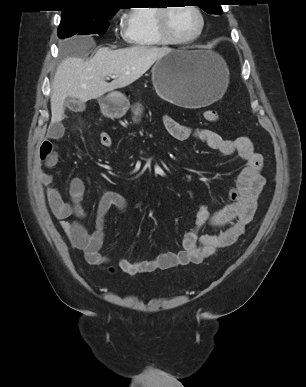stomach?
Listing matches in <instances>:
<instances>
[{
  "instance_id": "1",
  "label": "stomach",
  "mask_w": 306,
  "mask_h": 387,
  "mask_svg": "<svg viewBox=\"0 0 306 387\" xmlns=\"http://www.w3.org/2000/svg\"><path fill=\"white\" fill-rule=\"evenodd\" d=\"M152 82L166 101L185 108H200L220 99L229 83L224 60L206 50H171L155 62ZM104 116L122 117L129 101L119 91H111L98 100Z\"/></svg>"
}]
</instances>
